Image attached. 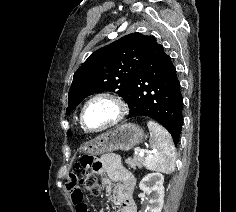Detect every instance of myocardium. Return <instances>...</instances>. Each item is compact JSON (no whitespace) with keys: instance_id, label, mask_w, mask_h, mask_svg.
I'll use <instances>...</instances> for the list:
<instances>
[{"instance_id":"obj_1","label":"myocardium","mask_w":236,"mask_h":212,"mask_svg":"<svg viewBox=\"0 0 236 212\" xmlns=\"http://www.w3.org/2000/svg\"><path fill=\"white\" fill-rule=\"evenodd\" d=\"M98 100H105V101H108L109 103H111L114 106L115 114L112 117V119L110 121H108L107 123H105L103 126L96 128V129H91L85 125L84 114H85L87 107L90 104H92L93 102L98 101ZM125 114H126V104L120 96H118L114 93H111V92H99V93L92 95L84 102V104L82 105L81 110H80L79 121H80V125H81L82 129L85 132L99 133V132H103V131L119 124L122 121V119L124 118Z\"/></svg>"}]
</instances>
